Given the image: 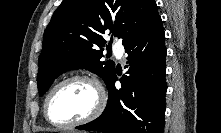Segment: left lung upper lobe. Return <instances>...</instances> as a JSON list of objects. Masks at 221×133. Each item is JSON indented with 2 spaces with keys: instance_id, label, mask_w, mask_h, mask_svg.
Instances as JSON below:
<instances>
[{
  "instance_id": "5c2ea615",
  "label": "left lung upper lobe",
  "mask_w": 221,
  "mask_h": 133,
  "mask_svg": "<svg viewBox=\"0 0 221 133\" xmlns=\"http://www.w3.org/2000/svg\"><path fill=\"white\" fill-rule=\"evenodd\" d=\"M159 17L155 0H63L44 32L37 76L40 95L72 69H88L107 84L115 65L100 61L106 43L102 34L107 31L124 45Z\"/></svg>"
}]
</instances>
